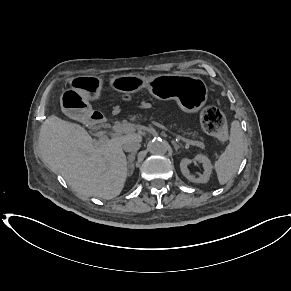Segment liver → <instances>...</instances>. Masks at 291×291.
Segmentation results:
<instances>
[{
    "label": "liver",
    "instance_id": "liver-1",
    "mask_svg": "<svg viewBox=\"0 0 291 291\" xmlns=\"http://www.w3.org/2000/svg\"><path fill=\"white\" fill-rule=\"evenodd\" d=\"M141 140L133 132L94 141L82 126L49 116L38 147L76 192L109 200L120 195L128 176L123 144Z\"/></svg>",
    "mask_w": 291,
    "mask_h": 291
}]
</instances>
